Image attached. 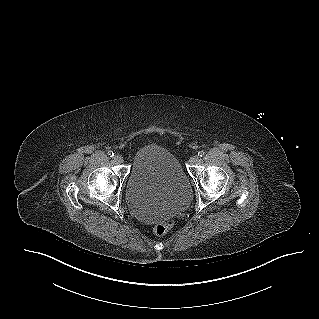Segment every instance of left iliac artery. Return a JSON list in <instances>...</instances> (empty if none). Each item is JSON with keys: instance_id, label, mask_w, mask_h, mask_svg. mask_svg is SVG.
<instances>
[{"instance_id": "44dca946", "label": "left iliac artery", "mask_w": 319, "mask_h": 319, "mask_svg": "<svg viewBox=\"0 0 319 319\" xmlns=\"http://www.w3.org/2000/svg\"><path fill=\"white\" fill-rule=\"evenodd\" d=\"M204 154H205V152H204L203 150L198 152V156H199V157L204 156Z\"/></svg>"}]
</instances>
